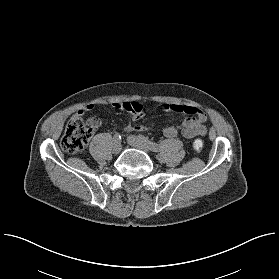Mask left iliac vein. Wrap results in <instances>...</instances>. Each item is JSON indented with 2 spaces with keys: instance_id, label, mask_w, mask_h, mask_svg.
<instances>
[{
  "instance_id": "1",
  "label": "left iliac vein",
  "mask_w": 279,
  "mask_h": 279,
  "mask_svg": "<svg viewBox=\"0 0 279 279\" xmlns=\"http://www.w3.org/2000/svg\"><path fill=\"white\" fill-rule=\"evenodd\" d=\"M127 141L134 148L140 149L146 153L150 152L149 146L140 137L129 135Z\"/></svg>"
}]
</instances>
